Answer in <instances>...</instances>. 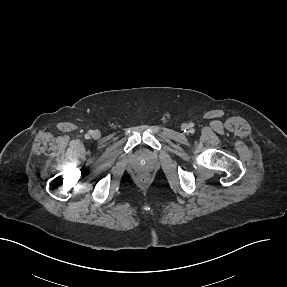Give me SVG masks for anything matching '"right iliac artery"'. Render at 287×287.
Here are the masks:
<instances>
[{"label": "right iliac artery", "mask_w": 287, "mask_h": 287, "mask_svg": "<svg viewBox=\"0 0 287 287\" xmlns=\"http://www.w3.org/2000/svg\"><path fill=\"white\" fill-rule=\"evenodd\" d=\"M89 133L91 134V133H93V131H90ZM87 137H88V135H87Z\"/></svg>", "instance_id": "82829eb1"}]
</instances>
